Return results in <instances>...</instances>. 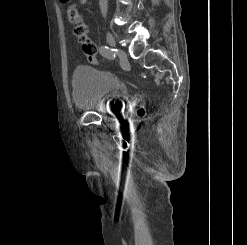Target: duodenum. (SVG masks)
I'll return each instance as SVG.
<instances>
[{
	"mask_svg": "<svg viewBox=\"0 0 247 245\" xmlns=\"http://www.w3.org/2000/svg\"><path fill=\"white\" fill-rule=\"evenodd\" d=\"M87 0H80L81 3H85Z\"/></svg>",
	"mask_w": 247,
	"mask_h": 245,
	"instance_id": "duodenum-1",
	"label": "duodenum"
}]
</instances>
